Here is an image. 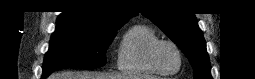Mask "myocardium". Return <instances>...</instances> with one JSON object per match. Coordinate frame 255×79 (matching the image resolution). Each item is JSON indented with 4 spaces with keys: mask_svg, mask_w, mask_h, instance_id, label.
Masks as SVG:
<instances>
[{
    "mask_svg": "<svg viewBox=\"0 0 255 79\" xmlns=\"http://www.w3.org/2000/svg\"><path fill=\"white\" fill-rule=\"evenodd\" d=\"M161 45H170L171 47L174 48V50L176 51V53L178 54V57H179V65H178L177 69H175V70H167V69L162 68L159 65V63L157 62V59H156V52H157V49L159 48V46H161ZM147 57H148V62L150 64V66L156 72H158L160 74H164V75L175 74L178 71H180L182 66H183V54H182V51L179 48V46L175 42H173L171 40H167V39H158V40H156L148 48Z\"/></svg>",
    "mask_w": 255,
    "mask_h": 79,
    "instance_id": "1",
    "label": "myocardium"
}]
</instances>
